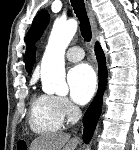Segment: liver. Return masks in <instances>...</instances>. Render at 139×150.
I'll use <instances>...</instances> for the list:
<instances>
[{
	"label": "liver",
	"mask_w": 139,
	"mask_h": 150,
	"mask_svg": "<svg viewBox=\"0 0 139 150\" xmlns=\"http://www.w3.org/2000/svg\"><path fill=\"white\" fill-rule=\"evenodd\" d=\"M77 144V139H70L69 134L55 133L39 136L29 150H75Z\"/></svg>",
	"instance_id": "6515ba94"
}]
</instances>
